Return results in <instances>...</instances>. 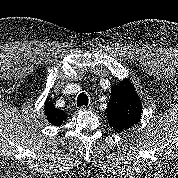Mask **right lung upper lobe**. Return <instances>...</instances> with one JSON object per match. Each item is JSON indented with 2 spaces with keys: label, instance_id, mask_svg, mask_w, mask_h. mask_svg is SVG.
Masks as SVG:
<instances>
[{
  "label": "right lung upper lobe",
  "instance_id": "right-lung-upper-lobe-1",
  "mask_svg": "<svg viewBox=\"0 0 178 178\" xmlns=\"http://www.w3.org/2000/svg\"><path fill=\"white\" fill-rule=\"evenodd\" d=\"M44 110L48 122L52 125L59 126L67 118L65 113L57 109L52 103L48 101L45 102Z\"/></svg>",
  "mask_w": 178,
  "mask_h": 178
}]
</instances>
